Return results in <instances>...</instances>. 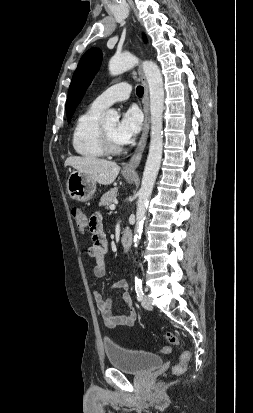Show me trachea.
Here are the masks:
<instances>
[{"mask_svg": "<svg viewBox=\"0 0 253 413\" xmlns=\"http://www.w3.org/2000/svg\"><path fill=\"white\" fill-rule=\"evenodd\" d=\"M143 93H144V88H143L142 86H138V87L136 88V94H137V96H138V97H142V96H143Z\"/></svg>", "mask_w": 253, "mask_h": 413, "instance_id": "3493384b", "label": "trachea"}]
</instances>
